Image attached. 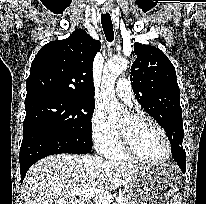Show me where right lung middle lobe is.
Instances as JSON below:
<instances>
[{
  "mask_svg": "<svg viewBox=\"0 0 206 204\" xmlns=\"http://www.w3.org/2000/svg\"><path fill=\"white\" fill-rule=\"evenodd\" d=\"M95 100L53 95L25 99L23 133L32 127H45L92 144L91 118Z\"/></svg>",
  "mask_w": 206,
  "mask_h": 204,
  "instance_id": "dd1d6c3e",
  "label": "right lung middle lobe"
}]
</instances>
